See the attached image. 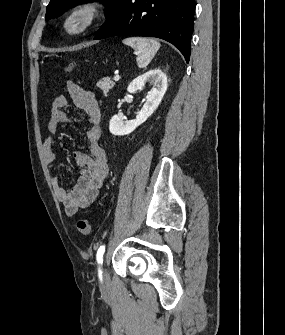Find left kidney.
<instances>
[{
  "label": "left kidney",
  "instance_id": "obj_1",
  "mask_svg": "<svg viewBox=\"0 0 285 335\" xmlns=\"http://www.w3.org/2000/svg\"><path fill=\"white\" fill-rule=\"evenodd\" d=\"M146 82H151L154 88H152L151 92L146 96V102L142 110L137 112L135 120L125 122V120L117 116V114L116 116H112L109 130L114 136H127V134L134 132L138 126L146 122L147 118H149V116L157 110L159 104H161V100L167 90V76L162 70H158V68L157 70H149V72H146L143 76L135 78V80L129 84L127 92L134 94L137 90H143L146 86Z\"/></svg>",
  "mask_w": 285,
  "mask_h": 335
}]
</instances>
